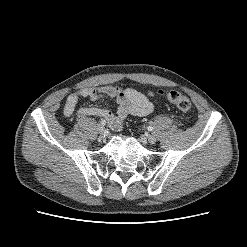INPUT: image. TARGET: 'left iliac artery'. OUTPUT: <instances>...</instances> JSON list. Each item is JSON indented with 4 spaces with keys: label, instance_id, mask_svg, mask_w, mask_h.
I'll list each match as a JSON object with an SVG mask.
<instances>
[{
    "label": "left iliac artery",
    "instance_id": "1",
    "mask_svg": "<svg viewBox=\"0 0 247 247\" xmlns=\"http://www.w3.org/2000/svg\"><path fill=\"white\" fill-rule=\"evenodd\" d=\"M147 129H148V131H152L153 127L152 126H148Z\"/></svg>",
    "mask_w": 247,
    "mask_h": 247
}]
</instances>
